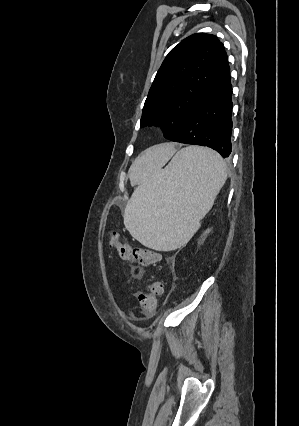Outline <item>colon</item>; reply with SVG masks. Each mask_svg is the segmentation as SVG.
I'll use <instances>...</instances> for the list:
<instances>
[{"mask_svg":"<svg viewBox=\"0 0 299 426\" xmlns=\"http://www.w3.org/2000/svg\"><path fill=\"white\" fill-rule=\"evenodd\" d=\"M110 247L117 250L122 260L137 261L143 266L153 265L157 263L161 257L156 250L131 246L121 240L119 234L115 231L111 234ZM163 290V283L161 281H154L148 284L145 290L138 294L139 307L144 317L151 318L155 315L158 298L162 295Z\"/></svg>","mask_w":299,"mask_h":426,"instance_id":"obj_1","label":"colon"}]
</instances>
